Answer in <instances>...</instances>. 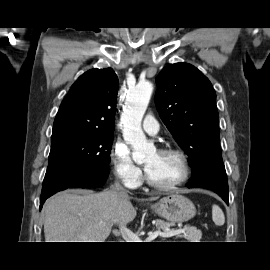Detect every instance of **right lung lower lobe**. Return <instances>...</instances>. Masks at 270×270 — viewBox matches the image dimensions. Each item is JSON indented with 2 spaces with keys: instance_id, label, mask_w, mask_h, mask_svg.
<instances>
[{
  "instance_id": "right-lung-lower-lobe-1",
  "label": "right lung lower lobe",
  "mask_w": 270,
  "mask_h": 270,
  "mask_svg": "<svg viewBox=\"0 0 270 270\" xmlns=\"http://www.w3.org/2000/svg\"><path fill=\"white\" fill-rule=\"evenodd\" d=\"M108 173L103 171L88 172L78 164H70L46 174L42 186L40 210L46 199L58 191L75 187L96 188L102 186L108 177Z\"/></svg>"
}]
</instances>
